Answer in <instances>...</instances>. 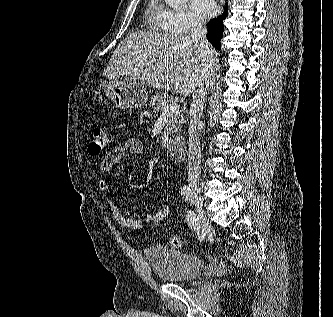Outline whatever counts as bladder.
I'll list each match as a JSON object with an SVG mask.
<instances>
[{
    "instance_id": "obj_1",
    "label": "bladder",
    "mask_w": 333,
    "mask_h": 317,
    "mask_svg": "<svg viewBox=\"0 0 333 317\" xmlns=\"http://www.w3.org/2000/svg\"><path fill=\"white\" fill-rule=\"evenodd\" d=\"M145 256L157 277L166 282L191 281L203 268L200 257L160 245L147 248Z\"/></svg>"
}]
</instances>
